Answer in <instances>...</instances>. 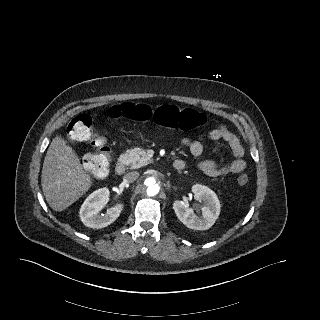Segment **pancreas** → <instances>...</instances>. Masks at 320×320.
Here are the masks:
<instances>
[{
	"label": "pancreas",
	"instance_id": "1",
	"mask_svg": "<svg viewBox=\"0 0 320 320\" xmlns=\"http://www.w3.org/2000/svg\"><path fill=\"white\" fill-rule=\"evenodd\" d=\"M119 161L130 167V169H137L146 166L149 163L145 151L139 147L127 150L120 156Z\"/></svg>",
	"mask_w": 320,
	"mask_h": 320
}]
</instances>
